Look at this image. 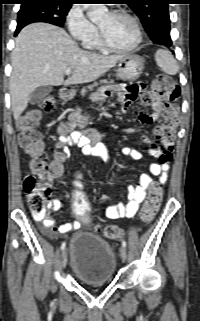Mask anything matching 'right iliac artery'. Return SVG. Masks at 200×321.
Segmentation results:
<instances>
[{
    "mask_svg": "<svg viewBox=\"0 0 200 321\" xmlns=\"http://www.w3.org/2000/svg\"><path fill=\"white\" fill-rule=\"evenodd\" d=\"M65 246H66V243L63 242V243L61 244V250H64V249H65Z\"/></svg>",
    "mask_w": 200,
    "mask_h": 321,
    "instance_id": "82829eb1",
    "label": "right iliac artery"
}]
</instances>
